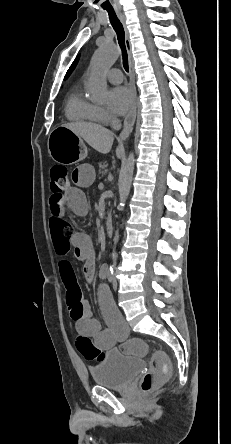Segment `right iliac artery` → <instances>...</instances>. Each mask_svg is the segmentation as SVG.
<instances>
[{"label":"right iliac artery","mask_w":231,"mask_h":444,"mask_svg":"<svg viewBox=\"0 0 231 444\" xmlns=\"http://www.w3.org/2000/svg\"><path fill=\"white\" fill-rule=\"evenodd\" d=\"M107 279L109 282H112V280H113V269L112 268H110L107 272Z\"/></svg>","instance_id":"right-iliac-artery-1"}]
</instances>
